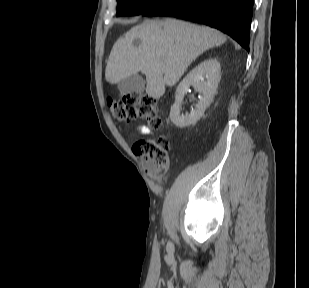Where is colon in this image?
Segmentation results:
<instances>
[{
  "mask_svg": "<svg viewBox=\"0 0 309 288\" xmlns=\"http://www.w3.org/2000/svg\"><path fill=\"white\" fill-rule=\"evenodd\" d=\"M112 115L118 120H145L152 128H160L162 118L155 98L141 93H128L117 101L109 100ZM134 150L143 160L146 172L159 183H165L170 167V143L163 136L141 139Z\"/></svg>",
  "mask_w": 309,
  "mask_h": 288,
  "instance_id": "1",
  "label": "colon"
}]
</instances>
